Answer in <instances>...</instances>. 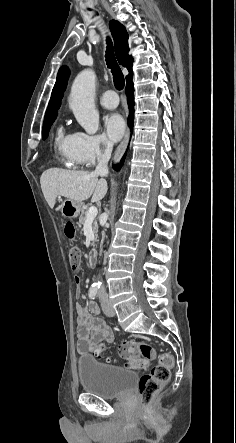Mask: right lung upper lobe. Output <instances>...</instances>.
Masks as SVG:
<instances>
[{
    "label": "right lung upper lobe",
    "instance_id": "obj_1",
    "mask_svg": "<svg viewBox=\"0 0 236 443\" xmlns=\"http://www.w3.org/2000/svg\"><path fill=\"white\" fill-rule=\"evenodd\" d=\"M109 27L114 39L117 60L119 64L128 69L130 74L132 73L133 58L128 55V33L125 30L124 26L115 20L110 21ZM68 77L69 69L66 66H62L58 71L56 83L54 85L51 99L45 113L44 122L56 118L58 108L61 105L63 93L66 89Z\"/></svg>",
    "mask_w": 236,
    "mask_h": 443
}]
</instances>
